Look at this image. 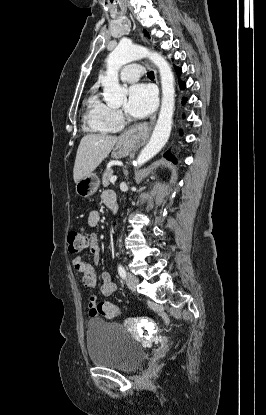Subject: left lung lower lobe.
Listing matches in <instances>:
<instances>
[{"label": "left lung lower lobe", "instance_id": "0a47b994", "mask_svg": "<svg viewBox=\"0 0 266 415\" xmlns=\"http://www.w3.org/2000/svg\"><path fill=\"white\" fill-rule=\"evenodd\" d=\"M175 70H176V73H177V75L179 76L180 74H181V72H182V70H181V68H179V67H175ZM179 85H180V88L181 89H184L185 88V86H186V84L184 83V82H182L181 80H179ZM186 99L184 98V101H185ZM165 156H166V158H168L169 160H172V161H174L175 162V160H174V158L171 156V155H169V153H166L165 154Z\"/></svg>", "mask_w": 266, "mask_h": 415}]
</instances>
